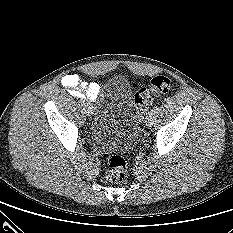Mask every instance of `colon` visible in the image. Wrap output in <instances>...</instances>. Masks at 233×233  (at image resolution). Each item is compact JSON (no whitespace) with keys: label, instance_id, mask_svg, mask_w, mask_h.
<instances>
[{"label":"colon","instance_id":"5ec220e1","mask_svg":"<svg viewBox=\"0 0 233 233\" xmlns=\"http://www.w3.org/2000/svg\"><path fill=\"white\" fill-rule=\"evenodd\" d=\"M171 80L163 75L152 78L148 87L140 88L134 95V117L139 119L148 109L152 98L157 94H166L171 90ZM129 176L128 160L123 151H106V177L113 184H123Z\"/></svg>","mask_w":233,"mask_h":233}]
</instances>
